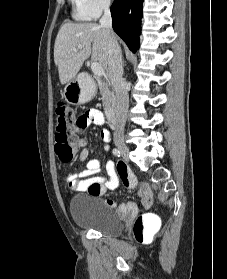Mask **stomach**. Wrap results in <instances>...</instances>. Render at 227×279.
I'll return each instance as SVG.
<instances>
[{
  "label": "stomach",
  "instance_id": "stomach-1",
  "mask_svg": "<svg viewBox=\"0 0 227 279\" xmlns=\"http://www.w3.org/2000/svg\"><path fill=\"white\" fill-rule=\"evenodd\" d=\"M96 93L95 84L89 80L85 83L79 78H73L66 83L63 96L65 100L73 105H79L90 101Z\"/></svg>",
  "mask_w": 227,
  "mask_h": 279
}]
</instances>
